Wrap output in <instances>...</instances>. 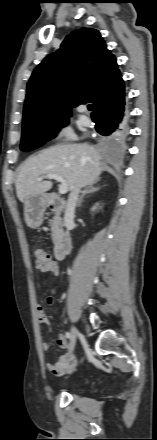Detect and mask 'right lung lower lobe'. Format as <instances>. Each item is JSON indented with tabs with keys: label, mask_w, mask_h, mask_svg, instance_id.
<instances>
[{
	"label": "right lung lower lobe",
	"mask_w": 157,
	"mask_h": 440,
	"mask_svg": "<svg viewBox=\"0 0 157 440\" xmlns=\"http://www.w3.org/2000/svg\"><path fill=\"white\" fill-rule=\"evenodd\" d=\"M92 118L95 129L100 135L116 139L124 138L128 126L125 94L111 99L102 108L94 111Z\"/></svg>",
	"instance_id": "right-lung-lower-lobe-1"
}]
</instances>
